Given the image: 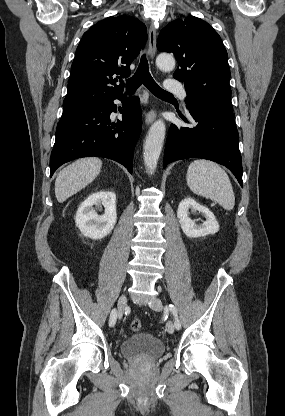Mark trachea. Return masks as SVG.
Returning a JSON list of instances; mask_svg holds the SVG:
<instances>
[{
	"instance_id": "1",
	"label": "trachea",
	"mask_w": 285,
	"mask_h": 416,
	"mask_svg": "<svg viewBox=\"0 0 285 416\" xmlns=\"http://www.w3.org/2000/svg\"><path fill=\"white\" fill-rule=\"evenodd\" d=\"M142 83L155 96H173L172 93L166 92V90H163V88L159 87V85L154 81L150 75L148 60L145 54L142 55L141 61L134 75L126 80V90L128 92H134L140 85H142Z\"/></svg>"
}]
</instances>
